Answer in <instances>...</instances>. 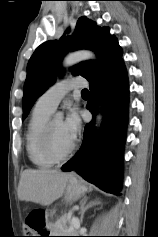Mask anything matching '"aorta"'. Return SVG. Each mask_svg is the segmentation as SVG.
<instances>
[{
    "instance_id": "1",
    "label": "aorta",
    "mask_w": 158,
    "mask_h": 237,
    "mask_svg": "<svg viewBox=\"0 0 158 237\" xmlns=\"http://www.w3.org/2000/svg\"><path fill=\"white\" fill-rule=\"evenodd\" d=\"M89 59H96L95 55L91 52V51H87V50H82V51H77L71 54H68L64 60H63V67L64 68H68L72 65H75L81 61L84 60H89ZM59 118L62 117L61 114L57 115ZM101 121H102V116L99 113L96 117V126L99 128L101 125Z\"/></svg>"
}]
</instances>
